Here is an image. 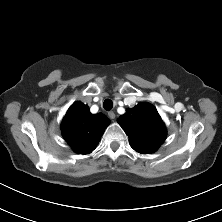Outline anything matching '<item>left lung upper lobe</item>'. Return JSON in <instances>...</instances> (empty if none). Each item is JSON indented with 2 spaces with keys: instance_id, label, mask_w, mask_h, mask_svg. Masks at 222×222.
Here are the masks:
<instances>
[{
  "instance_id": "1",
  "label": "left lung upper lobe",
  "mask_w": 222,
  "mask_h": 222,
  "mask_svg": "<svg viewBox=\"0 0 222 222\" xmlns=\"http://www.w3.org/2000/svg\"><path fill=\"white\" fill-rule=\"evenodd\" d=\"M117 121L128 135L131 147L142 154L155 152L166 137L164 123L149 103L128 109Z\"/></svg>"
}]
</instances>
